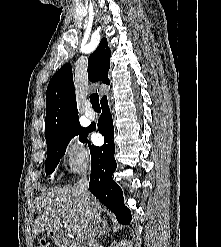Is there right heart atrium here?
<instances>
[{
  "label": "right heart atrium",
  "instance_id": "right-heart-atrium-1",
  "mask_svg": "<svg viewBox=\"0 0 221 247\" xmlns=\"http://www.w3.org/2000/svg\"><path fill=\"white\" fill-rule=\"evenodd\" d=\"M89 157L88 149L76 137H71L63 148L61 161L68 170L78 172L86 167Z\"/></svg>",
  "mask_w": 221,
  "mask_h": 247
}]
</instances>
